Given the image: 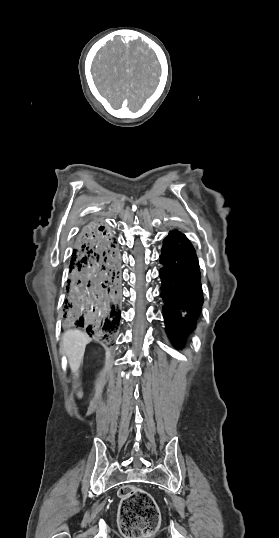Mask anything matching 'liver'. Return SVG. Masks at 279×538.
<instances>
[{
	"instance_id": "liver-1",
	"label": "liver",
	"mask_w": 279,
	"mask_h": 538,
	"mask_svg": "<svg viewBox=\"0 0 279 538\" xmlns=\"http://www.w3.org/2000/svg\"><path fill=\"white\" fill-rule=\"evenodd\" d=\"M91 342V338L83 334L81 330H67L63 334L61 348L66 354L71 372L76 374L82 364L85 348ZM81 398V394H78Z\"/></svg>"
}]
</instances>
